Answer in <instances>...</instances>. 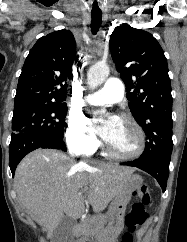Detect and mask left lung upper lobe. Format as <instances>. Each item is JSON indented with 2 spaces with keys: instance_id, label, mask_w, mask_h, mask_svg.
Here are the masks:
<instances>
[{
  "instance_id": "obj_1",
  "label": "left lung upper lobe",
  "mask_w": 187,
  "mask_h": 242,
  "mask_svg": "<svg viewBox=\"0 0 187 242\" xmlns=\"http://www.w3.org/2000/svg\"><path fill=\"white\" fill-rule=\"evenodd\" d=\"M109 48L126 85L129 108L146 134L140 157L171 154V82L161 46L150 33L123 24L112 32Z\"/></svg>"
}]
</instances>
